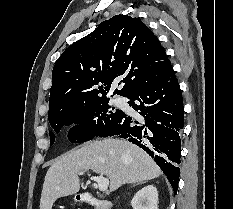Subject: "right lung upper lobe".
Returning <instances> with one entry per match:
<instances>
[{
    "mask_svg": "<svg viewBox=\"0 0 233 209\" xmlns=\"http://www.w3.org/2000/svg\"><path fill=\"white\" fill-rule=\"evenodd\" d=\"M171 66L159 40L142 21L115 15L70 45L56 61L48 114L107 98L116 78H122L123 88L113 94L128 97L157 82Z\"/></svg>",
    "mask_w": 233,
    "mask_h": 209,
    "instance_id": "cb5924a9",
    "label": "right lung upper lobe"
}]
</instances>
